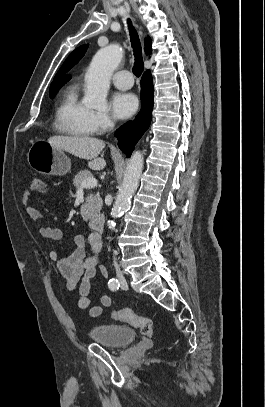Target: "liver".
I'll return each mask as SVG.
<instances>
[{
	"label": "liver",
	"instance_id": "1",
	"mask_svg": "<svg viewBox=\"0 0 265 407\" xmlns=\"http://www.w3.org/2000/svg\"><path fill=\"white\" fill-rule=\"evenodd\" d=\"M47 142L76 157L88 160V167L91 169L102 170L106 166V161L103 158H98V155L105 147V143L100 139L94 137L53 136Z\"/></svg>",
	"mask_w": 265,
	"mask_h": 407
}]
</instances>
